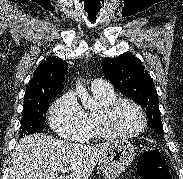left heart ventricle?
Returning <instances> with one entry per match:
<instances>
[{"mask_svg": "<svg viewBox=\"0 0 183 179\" xmlns=\"http://www.w3.org/2000/svg\"><path fill=\"white\" fill-rule=\"evenodd\" d=\"M113 127L120 133H134L142 125L140 113L132 105L124 103L115 112L112 120Z\"/></svg>", "mask_w": 183, "mask_h": 179, "instance_id": "left-heart-ventricle-1", "label": "left heart ventricle"}]
</instances>
